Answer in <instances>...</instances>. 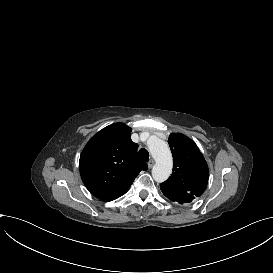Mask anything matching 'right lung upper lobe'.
<instances>
[{
	"instance_id": "cb5924a9",
	"label": "right lung upper lobe",
	"mask_w": 273,
	"mask_h": 273,
	"mask_svg": "<svg viewBox=\"0 0 273 273\" xmlns=\"http://www.w3.org/2000/svg\"><path fill=\"white\" fill-rule=\"evenodd\" d=\"M138 144L131 128L123 123L109 125L95 134L83 149L79 168L83 183L95 197L112 201L122 196L146 163L137 156Z\"/></svg>"
}]
</instances>
